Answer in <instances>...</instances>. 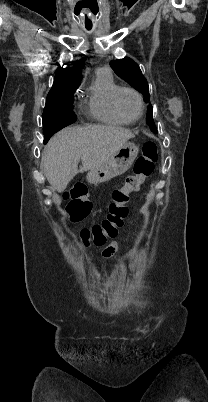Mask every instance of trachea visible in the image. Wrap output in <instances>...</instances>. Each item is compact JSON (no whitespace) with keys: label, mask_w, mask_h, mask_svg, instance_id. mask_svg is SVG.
Returning a JSON list of instances; mask_svg holds the SVG:
<instances>
[{"label":"trachea","mask_w":208,"mask_h":402,"mask_svg":"<svg viewBox=\"0 0 208 402\" xmlns=\"http://www.w3.org/2000/svg\"><path fill=\"white\" fill-rule=\"evenodd\" d=\"M87 30H91V28H87Z\"/></svg>","instance_id":"1"}]
</instances>
